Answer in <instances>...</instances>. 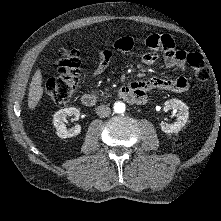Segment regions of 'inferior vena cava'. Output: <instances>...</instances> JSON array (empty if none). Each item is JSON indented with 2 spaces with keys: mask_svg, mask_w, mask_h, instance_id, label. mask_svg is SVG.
Listing matches in <instances>:
<instances>
[{
  "mask_svg": "<svg viewBox=\"0 0 221 221\" xmlns=\"http://www.w3.org/2000/svg\"><path fill=\"white\" fill-rule=\"evenodd\" d=\"M96 113L100 118H105L110 115L111 109L107 105H100L96 108Z\"/></svg>",
  "mask_w": 221,
  "mask_h": 221,
  "instance_id": "1",
  "label": "inferior vena cava"
}]
</instances>
